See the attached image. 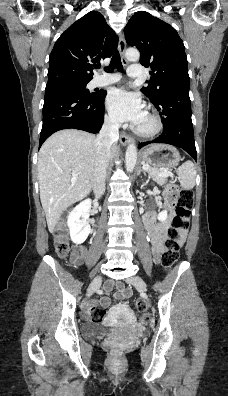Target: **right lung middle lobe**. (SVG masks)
Instances as JSON below:
<instances>
[{"label":"right lung middle lobe","mask_w":228,"mask_h":396,"mask_svg":"<svg viewBox=\"0 0 228 396\" xmlns=\"http://www.w3.org/2000/svg\"><path fill=\"white\" fill-rule=\"evenodd\" d=\"M88 82H68L56 85L54 87H62L72 89L85 97L91 98L97 95V93H90L88 89H86V85Z\"/></svg>","instance_id":"obj_1"}]
</instances>
